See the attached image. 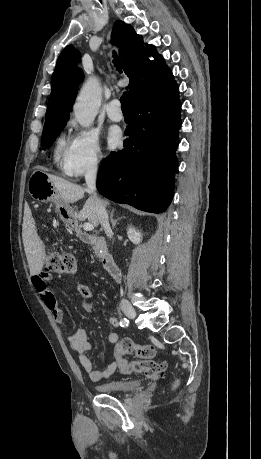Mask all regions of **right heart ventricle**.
<instances>
[{
    "instance_id": "obj_1",
    "label": "right heart ventricle",
    "mask_w": 261,
    "mask_h": 459,
    "mask_svg": "<svg viewBox=\"0 0 261 459\" xmlns=\"http://www.w3.org/2000/svg\"><path fill=\"white\" fill-rule=\"evenodd\" d=\"M71 151V142L68 141L64 136H60L55 144L53 151V161L54 163L65 173L66 164Z\"/></svg>"
}]
</instances>
